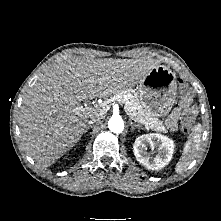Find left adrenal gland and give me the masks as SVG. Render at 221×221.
Instances as JSON below:
<instances>
[{"instance_id":"obj_1","label":"left adrenal gland","mask_w":221,"mask_h":221,"mask_svg":"<svg viewBox=\"0 0 221 221\" xmlns=\"http://www.w3.org/2000/svg\"><path fill=\"white\" fill-rule=\"evenodd\" d=\"M130 125H131V130H135V128H141V126L139 124H134L132 121H130Z\"/></svg>"}]
</instances>
